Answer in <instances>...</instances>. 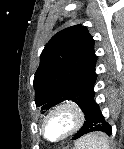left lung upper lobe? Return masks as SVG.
<instances>
[{
    "label": "left lung upper lobe",
    "instance_id": "5c2ea615",
    "mask_svg": "<svg viewBox=\"0 0 124 149\" xmlns=\"http://www.w3.org/2000/svg\"><path fill=\"white\" fill-rule=\"evenodd\" d=\"M94 43L82 25L66 28L50 39L41 53L34 76L37 107L47 110L64 100H71L86 117L96 79Z\"/></svg>",
    "mask_w": 124,
    "mask_h": 149
}]
</instances>
